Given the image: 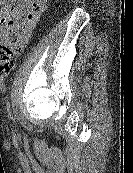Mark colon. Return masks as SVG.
Masks as SVG:
<instances>
[{"instance_id": "1", "label": "colon", "mask_w": 133, "mask_h": 173, "mask_svg": "<svg viewBox=\"0 0 133 173\" xmlns=\"http://www.w3.org/2000/svg\"><path fill=\"white\" fill-rule=\"evenodd\" d=\"M16 60V48L0 44V76H7L15 68Z\"/></svg>"}]
</instances>
